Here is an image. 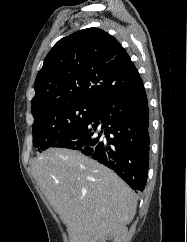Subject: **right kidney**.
Segmentation results:
<instances>
[{
    "mask_svg": "<svg viewBox=\"0 0 187 242\" xmlns=\"http://www.w3.org/2000/svg\"><path fill=\"white\" fill-rule=\"evenodd\" d=\"M127 232V227L122 226L106 236L94 239L92 242H106L107 239L113 240L112 242H127Z\"/></svg>",
    "mask_w": 187,
    "mask_h": 242,
    "instance_id": "ca27d5eb",
    "label": "right kidney"
}]
</instances>
